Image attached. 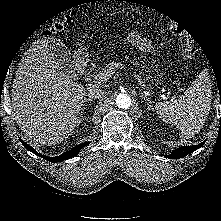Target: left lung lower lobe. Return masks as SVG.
<instances>
[{"label": "left lung lower lobe", "instance_id": "1", "mask_svg": "<svg viewBox=\"0 0 221 221\" xmlns=\"http://www.w3.org/2000/svg\"><path fill=\"white\" fill-rule=\"evenodd\" d=\"M204 142L200 143L199 145H195V146L180 147L178 149H175L170 155H167L165 157L170 158V159L182 158V157L194 152L195 150L199 149L204 144Z\"/></svg>", "mask_w": 221, "mask_h": 221}]
</instances>
